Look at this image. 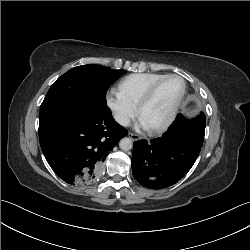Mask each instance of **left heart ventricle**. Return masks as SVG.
Masks as SVG:
<instances>
[{
	"label": "left heart ventricle",
	"instance_id": "1",
	"mask_svg": "<svg viewBox=\"0 0 250 250\" xmlns=\"http://www.w3.org/2000/svg\"><path fill=\"white\" fill-rule=\"evenodd\" d=\"M181 90L182 82L177 78L167 79L160 84L141 114V120L147 127L158 125L168 117Z\"/></svg>",
	"mask_w": 250,
	"mask_h": 250
}]
</instances>
